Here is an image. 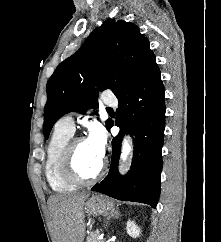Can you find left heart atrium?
Listing matches in <instances>:
<instances>
[{
  "label": "left heart atrium",
  "instance_id": "left-heart-atrium-1",
  "mask_svg": "<svg viewBox=\"0 0 221 242\" xmlns=\"http://www.w3.org/2000/svg\"><path fill=\"white\" fill-rule=\"evenodd\" d=\"M85 141L98 157L103 158L106 150L107 137L100 124L95 123L90 127L89 135Z\"/></svg>",
  "mask_w": 221,
  "mask_h": 242
}]
</instances>
